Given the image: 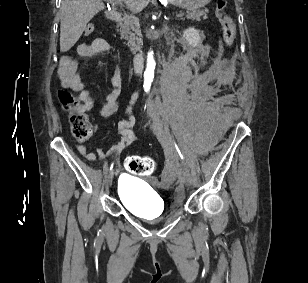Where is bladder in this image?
Wrapping results in <instances>:
<instances>
[{
    "instance_id": "bladder-1",
    "label": "bladder",
    "mask_w": 308,
    "mask_h": 283,
    "mask_svg": "<svg viewBox=\"0 0 308 283\" xmlns=\"http://www.w3.org/2000/svg\"><path fill=\"white\" fill-rule=\"evenodd\" d=\"M117 194L122 204L139 217L156 218L163 213L164 207L156 192L132 176L119 178Z\"/></svg>"
}]
</instances>
